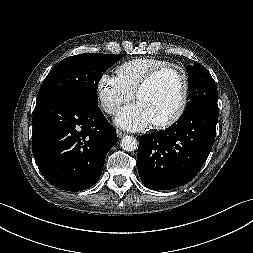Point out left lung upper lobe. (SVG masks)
Listing matches in <instances>:
<instances>
[{
  "instance_id": "obj_1",
  "label": "left lung upper lobe",
  "mask_w": 253,
  "mask_h": 253,
  "mask_svg": "<svg viewBox=\"0 0 253 253\" xmlns=\"http://www.w3.org/2000/svg\"><path fill=\"white\" fill-rule=\"evenodd\" d=\"M186 71L188 73L189 102L182 116L198 106L217 107V88L206 68L198 62H194V65L186 67Z\"/></svg>"
}]
</instances>
